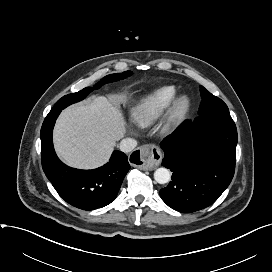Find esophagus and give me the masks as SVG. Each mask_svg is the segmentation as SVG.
I'll return each mask as SVG.
<instances>
[{"instance_id":"34e87169","label":"esophagus","mask_w":272,"mask_h":272,"mask_svg":"<svg viewBox=\"0 0 272 272\" xmlns=\"http://www.w3.org/2000/svg\"><path fill=\"white\" fill-rule=\"evenodd\" d=\"M161 160L162 153L154 144L143 145L130 156V162L138 165L136 167L142 170L155 169Z\"/></svg>"}]
</instances>
